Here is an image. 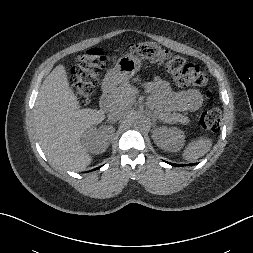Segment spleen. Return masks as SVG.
Segmentation results:
<instances>
[{"instance_id":"obj_1","label":"spleen","mask_w":253,"mask_h":253,"mask_svg":"<svg viewBox=\"0 0 253 253\" xmlns=\"http://www.w3.org/2000/svg\"><path fill=\"white\" fill-rule=\"evenodd\" d=\"M212 145L211 140L200 138L192 141L183 152V158L186 160H196L205 155Z\"/></svg>"}]
</instances>
